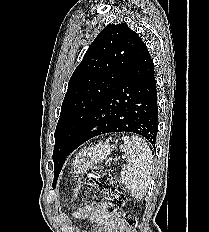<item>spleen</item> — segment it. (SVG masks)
<instances>
[{"label": "spleen", "mask_w": 209, "mask_h": 232, "mask_svg": "<svg viewBox=\"0 0 209 232\" xmlns=\"http://www.w3.org/2000/svg\"><path fill=\"white\" fill-rule=\"evenodd\" d=\"M121 150L127 163L121 171V183L137 199H142L148 190L152 174V152L148 144L139 136L122 137Z\"/></svg>", "instance_id": "obj_1"}]
</instances>
